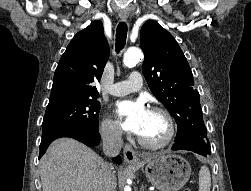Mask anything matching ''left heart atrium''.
<instances>
[{
    "label": "left heart atrium",
    "instance_id": "obj_1",
    "mask_svg": "<svg viewBox=\"0 0 251 191\" xmlns=\"http://www.w3.org/2000/svg\"><path fill=\"white\" fill-rule=\"evenodd\" d=\"M149 113V109L141 101H120L114 109L120 127L134 134L141 133Z\"/></svg>",
    "mask_w": 251,
    "mask_h": 191
}]
</instances>
